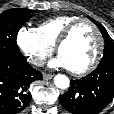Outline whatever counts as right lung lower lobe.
Returning <instances> with one entry per match:
<instances>
[{
	"mask_svg": "<svg viewBox=\"0 0 114 114\" xmlns=\"http://www.w3.org/2000/svg\"><path fill=\"white\" fill-rule=\"evenodd\" d=\"M42 79L26 58L0 57V114L20 113L31 100L29 85Z\"/></svg>",
	"mask_w": 114,
	"mask_h": 114,
	"instance_id": "obj_1",
	"label": "right lung lower lobe"
}]
</instances>
